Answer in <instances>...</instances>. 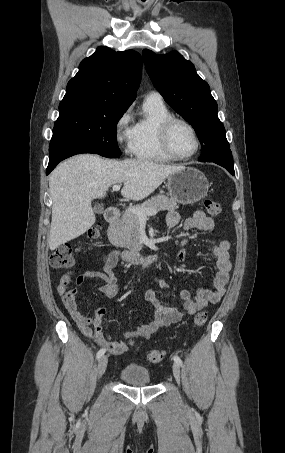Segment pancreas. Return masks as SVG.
Masks as SVG:
<instances>
[{"label":"pancreas","instance_id":"obj_1","mask_svg":"<svg viewBox=\"0 0 285 453\" xmlns=\"http://www.w3.org/2000/svg\"><path fill=\"white\" fill-rule=\"evenodd\" d=\"M135 207L145 210L154 209L157 212L160 210L173 211L178 209L176 201L169 199L163 194L153 196ZM139 226L140 217L128 209L122 215V219L111 226L112 238L119 246L138 252L142 248V244L139 241Z\"/></svg>","mask_w":285,"mask_h":453}]
</instances>
